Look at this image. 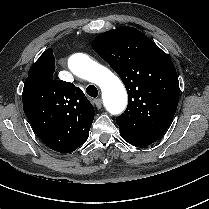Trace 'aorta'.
<instances>
[{"label": "aorta", "instance_id": "762f6f07", "mask_svg": "<svg viewBox=\"0 0 209 209\" xmlns=\"http://www.w3.org/2000/svg\"><path fill=\"white\" fill-rule=\"evenodd\" d=\"M68 66L75 75L101 88L105 107L111 114H120L125 109L127 104L125 88L120 79L108 68L83 53L70 56Z\"/></svg>", "mask_w": 209, "mask_h": 209}]
</instances>
